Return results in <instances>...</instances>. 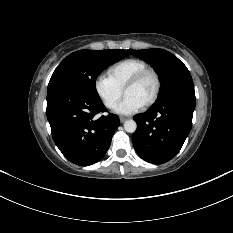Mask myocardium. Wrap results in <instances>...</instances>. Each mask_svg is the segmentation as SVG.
<instances>
[{"instance_id":"1","label":"myocardium","mask_w":233,"mask_h":233,"mask_svg":"<svg viewBox=\"0 0 233 233\" xmlns=\"http://www.w3.org/2000/svg\"><path fill=\"white\" fill-rule=\"evenodd\" d=\"M153 76L154 77V80H155V90H154V93L153 95L150 97V99L143 105L144 107H149L151 106L152 104H154L156 102V100L158 99L159 95H160V92H161V86H162V83H161V78H160V75L158 74V72L153 69V68H150V67H147L141 71H139L138 73H136L127 83L126 85L124 86V89H123V92L125 94V92L137 85L138 83H140L145 77L147 76Z\"/></svg>"}]
</instances>
